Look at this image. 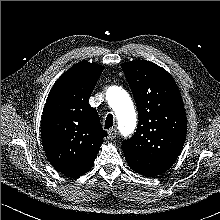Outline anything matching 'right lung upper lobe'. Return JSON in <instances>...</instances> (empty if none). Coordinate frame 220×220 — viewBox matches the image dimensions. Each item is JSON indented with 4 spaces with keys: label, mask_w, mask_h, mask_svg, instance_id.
Wrapping results in <instances>:
<instances>
[{
    "label": "right lung upper lobe",
    "mask_w": 220,
    "mask_h": 220,
    "mask_svg": "<svg viewBox=\"0 0 220 220\" xmlns=\"http://www.w3.org/2000/svg\"><path fill=\"white\" fill-rule=\"evenodd\" d=\"M103 66L80 62L52 87L41 121L42 144L52 166L68 177L83 175L94 164L103 138L99 115L88 104Z\"/></svg>",
    "instance_id": "right-lung-upper-lobe-1"
}]
</instances>
